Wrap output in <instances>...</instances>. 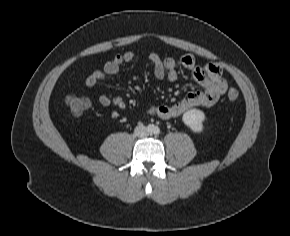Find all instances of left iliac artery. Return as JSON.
Segmentation results:
<instances>
[{
    "mask_svg": "<svg viewBox=\"0 0 290 236\" xmlns=\"http://www.w3.org/2000/svg\"><path fill=\"white\" fill-rule=\"evenodd\" d=\"M159 132H160V129L158 127H156L155 130H154V133L155 134H159Z\"/></svg>",
    "mask_w": 290,
    "mask_h": 236,
    "instance_id": "obj_1",
    "label": "left iliac artery"
}]
</instances>
